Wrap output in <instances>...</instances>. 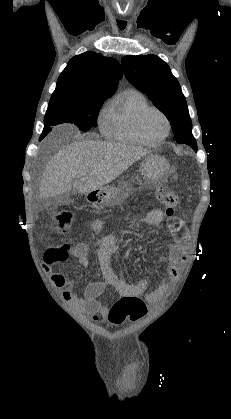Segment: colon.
<instances>
[{
	"label": "colon",
	"mask_w": 231,
	"mask_h": 419,
	"mask_svg": "<svg viewBox=\"0 0 231 419\" xmlns=\"http://www.w3.org/2000/svg\"><path fill=\"white\" fill-rule=\"evenodd\" d=\"M159 198L165 207V213L169 217L175 214L179 208V197L170 190H161ZM73 213L67 210L55 214L52 218V228L55 231L69 232L73 226ZM70 246L64 243L57 247L48 248L45 252V263L53 265L62 263L69 256ZM147 310L145 302L136 296L121 297L109 309L108 320L114 325H121L126 320L136 321L145 315Z\"/></svg>",
	"instance_id": "1"
}]
</instances>
